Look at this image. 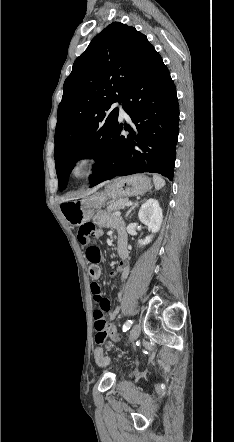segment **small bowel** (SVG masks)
<instances>
[{
	"instance_id": "1",
	"label": "small bowel",
	"mask_w": 234,
	"mask_h": 442,
	"mask_svg": "<svg viewBox=\"0 0 234 442\" xmlns=\"http://www.w3.org/2000/svg\"><path fill=\"white\" fill-rule=\"evenodd\" d=\"M95 222L99 226V228L96 229L95 238H98L102 235V230L100 229L102 227H111V228H114L117 232L118 254H119L121 260L118 263L113 275H120L121 281H122V283H124V281L126 280V278L129 275V272H130L129 263H128L129 252H128V246H127V235H126V231H125L124 221L118 215L98 213L95 217ZM94 285H95V283H92L91 291H92ZM117 297H118V300L121 301L123 299V292L120 291L118 293ZM119 312H120L119 307H116L115 309H113L109 314L110 319L116 318L118 316ZM109 316H108V314H95V316H94L93 326H94V328H96V332H97L96 337L97 338H95V339L98 344L103 343L107 337H109L111 340H116L118 338V334H117L115 328L113 327V324L108 322Z\"/></svg>"
}]
</instances>
